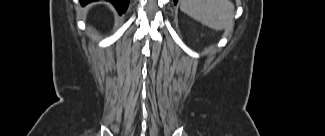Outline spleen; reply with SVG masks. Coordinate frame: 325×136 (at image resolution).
I'll return each instance as SVG.
<instances>
[{
	"label": "spleen",
	"mask_w": 325,
	"mask_h": 136,
	"mask_svg": "<svg viewBox=\"0 0 325 136\" xmlns=\"http://www.w3.org/2000/svg\"><path fill=\"white\" fill-rule=\"evenodd\" d=\"M232 4L228 0H181L180 9L203 25L220 31L228 26L232 17Z\"/></svg>",
	"instance_id": "3e777b00"
}]
</instances>
